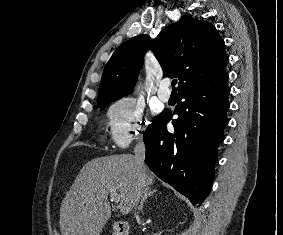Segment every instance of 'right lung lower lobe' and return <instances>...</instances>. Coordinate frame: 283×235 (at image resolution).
I'll return each mask as SVG.
<instances>
[{
    "label": "right lung lower lobe",
    "mask_w": 283,
    "mask_h": 235,
    "mask_svg": "<svg viewBox=\"0 0 283 235\" xmlns=\"http://www.w3.org/2000/svg\"><path fill=\"white\" fill-rule=\"evenodd\" d=\"M227 79L224 71L183 86L178 90L174 113L179 117L172 122L174 132L166 127L171 113L162 112L144 133L148 167L193 205H201L213 184L216 151L228 124Z\"/></svg>",
    "instance_id": "obj_1"
}]
</instances>
